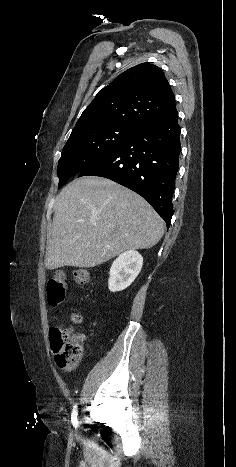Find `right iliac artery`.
Instances as JSON below:
<instances>
[{
  "label": "right iliac artery",
  "instance_id": "1",
  "mask_svg": "<svg viewBox=\"0 0 236 467\" xmlns=\"http://www.w3.org/2000/svg\"><path fill=\"white\" fill-rule=\"evenodd\" d=\"M77 415H78V409H77V404H76L74 405L72 413H71V420L74 425L78 423Z\"/></svg>",
  "mask_w": 236,
  "mask_h": 467
}]
</instances>
